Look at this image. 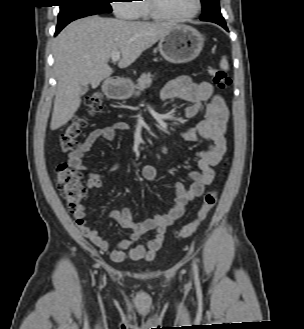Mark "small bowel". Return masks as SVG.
Returning a JSON list of instances; mask_svg holds the SVG:
<instances>
[{"instance_id": "small-bowel-1", "label": "small bowel", "mask_w": 304, "mask_h": 329, "mask_svg": "<svg viewBox=\"0 0 304 329\" xmlns=\"http://www.w3.org/2000/svg\"><path fill=\"white\" fill-rule=\"evenodd\" d=\"M165 100L182 99L190 102L185 108L187 118L196 117L203 109L204 119L196 126L184 129L181 132L183 139L187 141L204 140L209 146L206 150L197 152V168L190 173L192 183L189 187L177 184L175 187V199L170 210L162 215L144 222L133 219L132 211L126 207L122 210H114L109 216L123 228L129 229L131 235L127 239L118 241L112 247L97 230L86 226V211L84 205L73 213L76 225L82 234L90 240L101 253L106 254L114 262H121L126 258L134 261L151 260L165 243L168 228L184 213L186 205L200 197L205 186L214 178L213 168L220 163L226 150V128L229 120V110L223 98L214 92L209 82L196 83L188 77H179L167 84L163 91ZM130 129V125L123 121H115L105 127L94 129L86 138L81 147L69 154V164L75 169L85 172L88 170L84 163V157L93 145L100 139L111 140L115 132ZM117 165L112 164L110 171L116 170ZM158 170L154 165H145L142 168V177L152 181L157 177ZM102 173L91 172L88 174L87 187L98 189L102 184ZM154 231V237L145 244H136L141 235Z\"/></svg>"}]
</instances>
